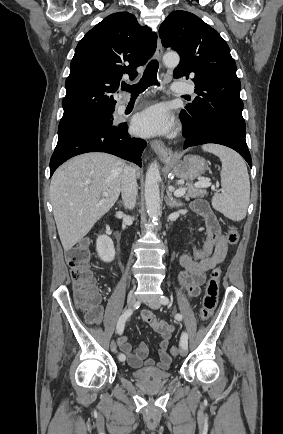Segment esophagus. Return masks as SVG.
<instances>
[{"label":"esophagus","instance_id":"34e87169","mask_svg":"<svg viewBox=\"0 0 283 434\" xmlns=\"http://www.w3.org/2000/svg\"><path fill=\"white\" fill-rule=\"evenodd\" d=\"M163 55V47L160 38L157 40V48H156V58L161 60ZM151 148L154 152L163 160L169 161L173 158V151L170 148H167L161 140H152Z\"/></svg>","mask_w":283,"mask_h":434}]
</instances>
